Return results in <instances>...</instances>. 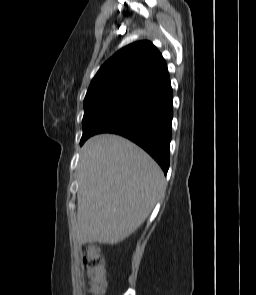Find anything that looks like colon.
Wrapping results in <instances>:
<instances>
[{
	"mask_svg": "<svg viewBox=\"0 0 256 295\" xmlns=\"http://www.w3.org/2000/svg\"><path fill=\"white\" fill-rule=\"evenodd\" d=\"M83 264L88 276L91 293L103 295L106 286L105 265L98 245L91 244L86 248Z\"/></svg>",
	"mask_w": 256,
	"mask_h": 295,
	"instance_id": "obj_1",
	"label": "colon"
}]
</instances>
